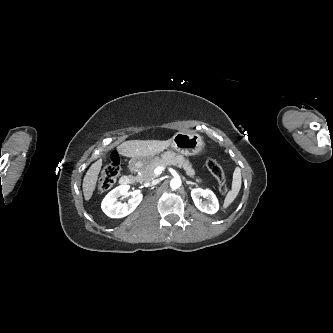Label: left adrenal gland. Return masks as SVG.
Listing matches in <instances>:
<instances>
[{"instance_id":"left-adrenal-gland-1","label":"left adrenal gland","mask_w":333,"mask_h":333,"mask_svg":"<svg viewBox=\"0 0 333 333\" xmlns=\"http://www.w3.org/2000/svg\"><path fill=\"white\" fill-rule=\"evenodd\" d=\"M186 184H188V185H195V186H197V184H196V183H194V182H191V181H188V180H186Z\"/></svg>"}]
</instances>
